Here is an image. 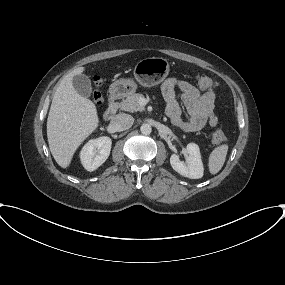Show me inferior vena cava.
<instances>
[{
  "label": "inferior vena cava",
  "instance_id": "1",
  "mask_svg": "<svg viewBox=\"0 0 285 285\" xmlns=\"http://www.w3.org/2000/svg\"><path fill=\"white\" fill-rule=\"evenodd\" d=\"M134 123V118L125 113L117 114L110 122V125L115 131H124L129 129Z\"/></svg>",
  "mask_w": 285,
  "mask_h": 285
}]
</instances>
